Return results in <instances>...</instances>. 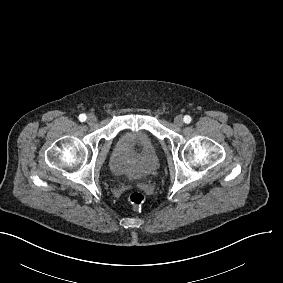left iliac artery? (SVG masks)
Here are the masks:
<instances>
[{"mask_svg":"<svg viewBox=\"0 0 283 283\" xmlns=\"http://www.w3.org/2000/svg\"><path fill=\"white\" fill-rule=\"evenodd\" d=\"M191 117L189 115L184 116V122L189 124L191 122Z\"/></svg>","mask_w":283,"mask_h":283,"instance_id":"44dca946","label":"left iliac artery"}]
</instances>
